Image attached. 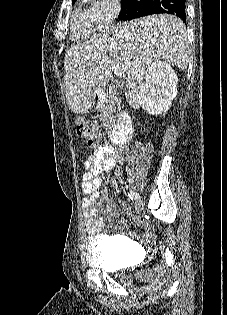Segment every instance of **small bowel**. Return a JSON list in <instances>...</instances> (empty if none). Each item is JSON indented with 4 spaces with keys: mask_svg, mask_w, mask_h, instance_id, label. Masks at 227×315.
<instances>
[{
    "mask_svg": "<svg viewBox=\"0 0 227 315\" xmlns=\"http://www.w3.org/2000/svg\"><path fill=\"white\" fill-rule=\"evenodd\" d=\"M124 158L111 145H101L93 149L83 163L82 191L85 197L82 200L85 229L88 234H99L103 228L100 203H105L104 216L111 218L117 210L114 201L105 194L98 192L103 172L113 169L117 162ZM124 213L140 224L138 217L132 214L127 205H123Z\"/></svg>",
    "mask_w": 227,
    "mask_h": 315,
    "instance_id": "small-bowel-1",
    "label": "small bowel"
}]
</instances>
